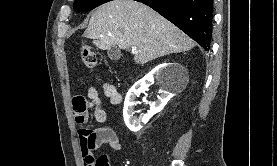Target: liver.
Here are the masks:
<instances>
[{"mask_svg":"<svg viewBox=\"0 0 277 166\" xmlns=\"http://www.w3.org/2000/svg\"><path fill=\"white\" fill-rule=\"evenodd\" d=\"M84 35L101 50L115 45L126 51L135 47L134 61L141 65L195 46L178 27L134 0H112L97 7Z\"/></svg>","mask_w":277,"mask_h":166,"instance_id":"6515ba94","label":"liver"}]
</instances>
